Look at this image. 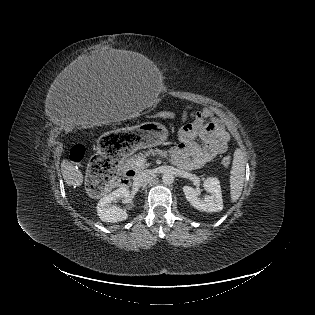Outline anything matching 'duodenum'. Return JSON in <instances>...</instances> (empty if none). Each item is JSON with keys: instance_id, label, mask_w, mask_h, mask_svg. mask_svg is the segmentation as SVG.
Masks as SVG:
<instances>
[{"instance_id": "obj_1", "label": "duodenum", "mask_w": 315, "mask_h": 315, "mask_svg": "<svg viewBox=\"0 0 315 315\" xmlns=\"http://www.w3.org/2000/svg\"><path fill=\"white\" fill-rule=\"evenodd\" d=\"M135 176V171L127 166L122 167L121 177L117 181L119 187H129L132 178Z\"/></svg>"}]
</instances>
